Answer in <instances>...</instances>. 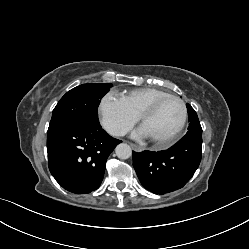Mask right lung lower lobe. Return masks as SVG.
<instances>
[{"label": "right lung lower lobe", "mask_w": 249, "mask_h": 249, "mask_svg": "<svg viewBox=\"0 0 249 249\" xmlns=\"http://www.w3.org/2000/svg\"><path fill=\"white\" fill-rule=\"evenodd\" d=\"M121 141L100 125H77L47 136L49 170L67 191L85 194L99 188L108 156Z\"/></svg>", "instance_id": "obj_1"}]
</instances>
